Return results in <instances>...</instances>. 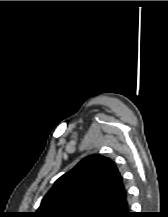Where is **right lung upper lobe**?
<instances>
[{
	"instance_id": "obj_1",
	"label": "right lung upper lobe",
	"mask_w": 168,
	"mask_h": 217,
	"mask_svg": "<svg viewBox=\"0 0 168 217\" xmlns=\"http://www.w3.org/2000/svg\"><path fill=\"white\" fill-rule=\"evenodd\" d=\"M127 203L122 177L109 158L91 155L61 176L34 217H105Z\"/></svg>"
}]
</instances>
